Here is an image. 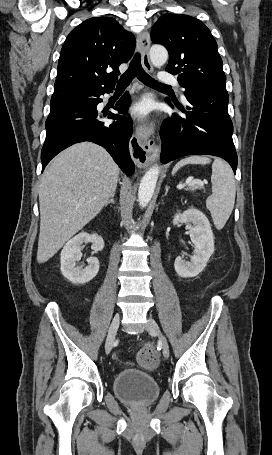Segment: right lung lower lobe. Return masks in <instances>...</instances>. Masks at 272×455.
<instances>
[{"label": "right lung lower lobe", "mask_w": 272, "mask_h": 455, "mask_svg": "<svg viewBox=\"0 0 272 455\" xmlns=\"http://www.w3.org/2000/svg\"><path fill=\"white\" fill-rule=\"evenodd\" d=\"M114 89V88H113ZM113 89L95 93L81 101H71L50 109L46 120V140L41 151L42 171L48 162L65 148L82 141H91L106 148L126 175L134 173V163L129 153V140L132 136L130 118L112 112L99 115L96 110L102 102L100 95L111 93ZM130 104L128 94H124L113 107L126 114ZM116 119L111 124L101 119Z\"/></svg>", "instance_id": "98d812e1"}]
</instances>
